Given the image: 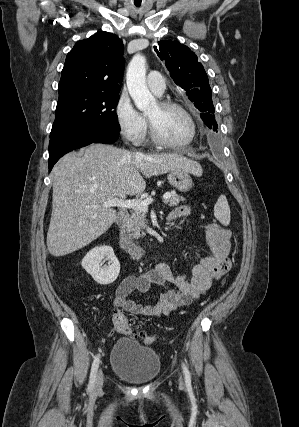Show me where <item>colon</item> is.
Masks as SVG:
<instances>
[{
	"instance_id": "1",
	"label": "colon",
	"mask_w": 299,
	"mask_h": 427,
	"mask_svg": "<svg viewBox=\"0 0 299 427\" xmlns=\"http://www.w3.org/2000/svg\"><path fill=\"white\" fill-rule=\"evenodd\" d=\"M113 326L115 330L119 333H123L129 336H140L136 330L132 321H130L124 314L121 312H115L112 318Z\"/></svg>"
}]
</instances>
